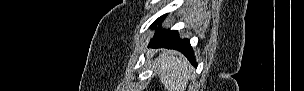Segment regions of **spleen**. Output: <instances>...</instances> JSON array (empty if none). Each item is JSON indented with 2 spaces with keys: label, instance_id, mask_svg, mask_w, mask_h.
Returning <instances> with one entry per match:
<instances>
[{
  "label": "spleen",
  "instance_id": "1",
  "mask_svg": "<svg viewBox=\"0 0 304 91\" xmlns=\"http://www.w3.org/2000/svg\"><path fill=\"white\" fill-rule=\"evenodd\" d=\"M156 69L168 91L186 90L192 72L186 59L167 52L157 60Z\"/></svg>",
  "mask_w": 304,
  "mask_h": 91
}]
</instances>
